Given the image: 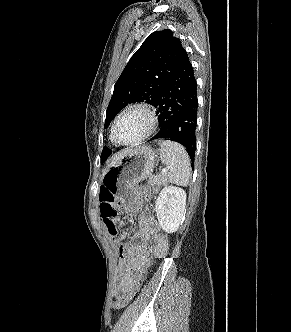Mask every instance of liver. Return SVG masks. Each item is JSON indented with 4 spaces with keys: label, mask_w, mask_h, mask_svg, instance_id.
I'll use <instances>...</instances> for the list:
<instances>
[{
    "label": "liver",
    "mask_w": 291,
    "mask_h": 332,
    "mask_svg": "<svg viewBox=\"0 0 291 332\" xmlns=\"http://www.w3.org/2000/svg\"><path fill=\"white\" fill-rule=\"evenodd\" d=\"M132 149H125V150H122L120 152H118L117 154H115L111 160H110V163L108 164L107 166V169L103 171V174L102 176H104V174L107 172V170L114 166L126 153L130 152Z\"/></svg>",
    "instance_id": "6515ba94"
}]
</instances>
